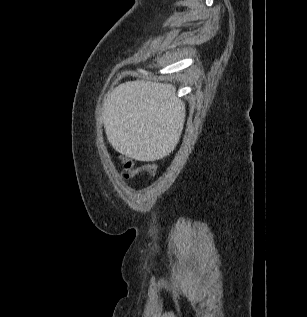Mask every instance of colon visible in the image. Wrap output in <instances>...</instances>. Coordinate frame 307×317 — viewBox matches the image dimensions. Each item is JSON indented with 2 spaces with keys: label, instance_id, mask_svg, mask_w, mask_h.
<instances>
[{
  "label": "colon",
  "instance_id": "obj_1",
  "mask_svg": "<svg viewBox=\"0 0 307 317\" xmlns=\"http://www.w3.org/2000/svg\"><path fill=\"white\" fill-rule=\"evenodd\" d=\"M120 162L123 165L121 177L124 180H129L143 171L147 172L150 177H154L157 172V165L153 162L144 163L138 167H135L134 161L126 156L120 157Z\"/></svg>",
  "mask_w": 307,
  "mask_h": 317
}]
</instances>
